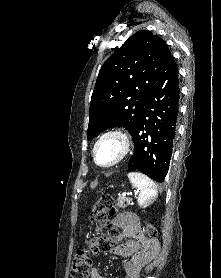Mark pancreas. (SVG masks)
Returning <instances> with one entry per match:
<instances>
[{"label":"pancreas","instance_id":"1","mask_svg":"<svg viewBox=\"0 0 221 278\" xmlns=\"http://www.w3.org/2000/svg\"><path fill=\"white\" fill-rule=\"evenodd\" d=\"M130 202L131 201L125 197H119L116 206L125 209L130 204Z\"/></svg>","mask_w":221,"mask_h":278}]
</instances>
